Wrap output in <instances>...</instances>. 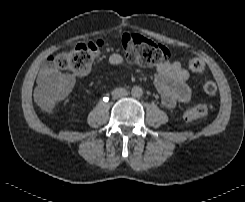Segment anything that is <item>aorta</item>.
<instances>
[{
  "mask_svg": "<svg viewBox=\"0 0 245 202\" xmlns=\"http://www.w3.org/2000/svg\"><path fill=\"white\" fill-rule=\"evenodd\" d=\"M131 94L133 97H141L143 94V89L140 86H134L131 90Z\"/></svg>",
  "mask_w": 245,
  "mask_h": 202,
  "instance_id": "762f6f07",
  "label": "aorta"
}]
</instances>
